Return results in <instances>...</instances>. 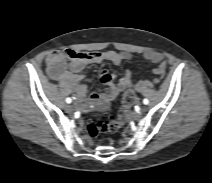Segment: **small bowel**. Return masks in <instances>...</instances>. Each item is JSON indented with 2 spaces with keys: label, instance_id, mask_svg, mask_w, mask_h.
Segmentation results:
<instances>
[{
  "label": "small bowel",
  "instance_id": "c3829d8e",
  "mask_svg": "<svg viewBox=\"0 0 212 183\" xmlns=\"http://www.w3.org/2000/svg\"><path fill=\"white\" fill-rule=\"evenodd\" d=\"M132 55L129 52H117L114 50H106L101 52H82L73 49L57 51L51 53L47 57L48 73L50 77L56 81L67 82L75 87L76 96L78 98V106L85 110L89 107L87 102L86 85L81 84L84 76L80 72L89 64H99L109 62L119 66L123 61L130 60ZM144 58L152 63L158 64L154 69L157 75H163L166 70V63L163 56L154 51L144 54ZM100 79L106 86L104 91H95L91 94V103L97 104L102 99L112 100L120 92L126 88L133 86L132 73L127 70L124 76L117 81L116 75L107 70L100 73Z\"/></svg>",
  "mask_w": 212,
  "mask_h": 183
}]
</instances>
